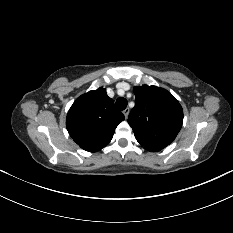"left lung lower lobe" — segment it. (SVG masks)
<instances>
[{
    "instance_id": "0a47b994",
    "label": "left lung lower lobe",
    "mask_w": 233,
    "mask_h": 233,
    "mask_svg": "<svg viewBox=\"0 0 233 233\" xmlns=\"http://www.w3.org/2000/svg\"><path fill=\"white\" fill-rule=\"evenodd\" d=\"M165 147H166L165 145H160V144H150V145L144 146L146 150L151 151V152L160 151Z\"/></svg>"
}]
</instances>
